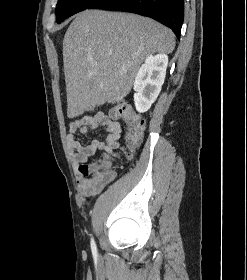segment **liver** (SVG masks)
<instances>
[{"instance_id": "obj_1", "label": "liver", "mask_w": 247, "mask_h": 280, "mask_svg": "<svg viewBox=\"0 0 247 280\" xmlns=\"http://www.w3.org/2000/svg\"><path fill=\"white\" fill-rule=\"evenodd\" d=\"M174 48L172 31L153 19L99 10L77 14L63 39L68 117L121 101L146 57Z\"/></svg>"}]
</instances>
